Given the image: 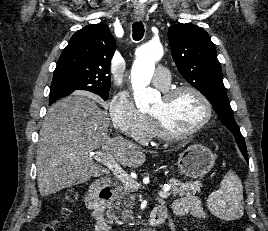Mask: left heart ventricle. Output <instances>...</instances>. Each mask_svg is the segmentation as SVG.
I'll return each instance as SVG.
<instances>
[{
    "label": "left heart ventricle",
    "mask_w": 268,
    "mask_h": 231,
    "mask_svg": "<svg viewBox=\"0 0 268 231\" xmlns=\"http://www.w3.org/2000/svg\"><path fill=\"white\" fill-rule=\"evenodd\" d=\"M151 115H164L169 127L177 133L186 132L197 125L204 116L203 103L194 94L183 92L167 107L163 99L158 100L150 111Z\"/></svg>",
    "instance_id": "b2bd125f"
}]
</instances>
